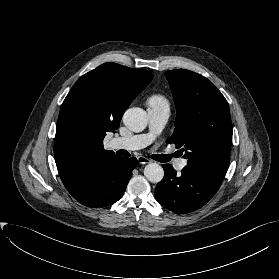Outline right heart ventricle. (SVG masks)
Returning <instances> with one entry per match:
<instances>
[{"label": "right heart ventricle", "mask_w": 279, "mask_h": 279, "mask_svg": "<svg viewBox=\"0 0 279 279\" xmlns=\"http://www.w3.org/2000/svg\"><path fill=\"white\" fill-rule=\"evenodd\" d=\"M148 104L152 108L157 107H167L168 108V101L166 98L161 94H154L148 98Z\"/></svg>", "instance_id": "e07e8e85"}]
</instances>
